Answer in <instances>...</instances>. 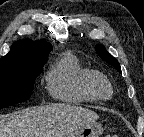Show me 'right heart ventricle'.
I'll use <instances>...</instances> for the list:
<instances>
[{"instance_id": "right-heart-ventricle-1", "label": "right heart ventricle", "mask_w": 144, "mask_h": 137, "mask_svg": "<svg viewBox=\"0 0 144 137\" xmlns=\"http://www.w3.org/2000/svg\"><path fill=\"white\" fill-rule=\"evenodd\" d=\"M91 72L74 53L66 52L48 70L45 77L47 90L63 103L94 102L96 98L86 88Z\"/></svg>"}]
</instances>
